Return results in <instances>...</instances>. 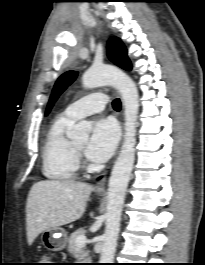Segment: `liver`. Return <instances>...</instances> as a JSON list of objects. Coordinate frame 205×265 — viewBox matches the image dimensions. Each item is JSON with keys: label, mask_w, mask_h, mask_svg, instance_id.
Instances as JSON below:
<instances>
[{"label": "liver", "mask_w": 205, "mask_h": 265, "mask_svg": "<svg viewBox=\"0 0 205 265\" xmlns=\"http://www.w3.org/2000/svg\"><path fill=\"white\" fill-rule=\"evenodd\" d=\"M93 187L83 182L45 180L33 184L26 203L28 244L51 228L80 219Z\"/></svg>", "instance_id": "1"}]
</instances>
